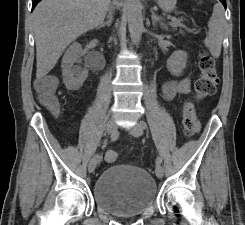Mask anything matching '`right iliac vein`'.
<instances>
[{
	"label": "right iliac vein",
	"instance_id": "right-iliac-vein-1",
	"mask_svg": "<svg viewBox=\"0 0 245 225\" xmlns=\"http://www.w3.org/2000/svg\"><path fill=\"white\" fill-rule=\"evenodd\" d=\"M116 130H117V125L115 121L113 119L109 120L106 124V133L112 136L116 132ZM96 157L97 155H95L88 164V171L90 173L94 172L96 168Z\"/></svg>",
	"mask_w": 245,
	"mask_h": 225
}]
</instances>
